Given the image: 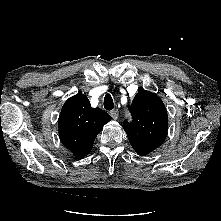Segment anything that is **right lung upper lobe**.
Segmentation results:
<instances>
[{
    "mask_svg": "<svg viewBox=\"0 0 221 221\" xmlns=\"http://www.w3.org/2000/svg\"><path fill=\"white\" fill-rule=\"evenodd\" d=\"M111 120L100 108H91L82 93L69 98L59 116V137L75 157L83 158L91 151L97 134Z\"/></svg>",
    "mask_w": 221,
    "mask_h": 221,
    "instance_id": "right-lung-upper-lobe-1",
    "label": "right lung upper lobe"
}]
</instances>
